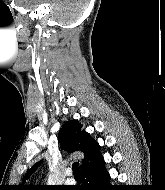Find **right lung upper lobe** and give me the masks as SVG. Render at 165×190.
Instances as JSON below:
<instances>
[{"label": "right lung upper lobe", "instance_id": "obj_1", "mask_svg": "<svg viewBox=\"0 0 165 190\" xmlns=\"http://www.w3.org/2000/svg\"><path fill=\"white\" fill-rule=\"evenodd\" d=\"M82 125L77 120L67 121L59 132V142L61 147L68 152L81 151L84 153V159L82 160L81 171L92 166L101 158L99 144L89 137V134L85 131H81ZM37 163L26 174L23 181H25L38 167ZM26 190H30L33 187L31 185H22Z\"/></svg>", "mask_w": 165, "mask_h": 190}]
</instances>
